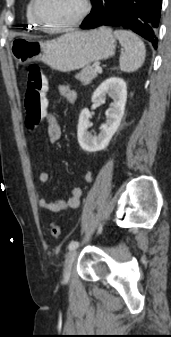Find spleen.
Segmentation results:
<instances>
[{
	"label": "spleen",
	"mask_w": 171,
	"mask_h": 337,
	"mask_svg": "<svg viewBox=\"0 0 171 337\" xmlns=\"http://www.w3.org/2000/svg\"><path fill=\"white\" fill-rule=\"evenodd\" d=\"M114 35L124 48L119 59L121 71L128 73L137 71L143 65L146 57L144 42L130 31L116 30Z\"/></svg>",
	"instance_id": "1"
}]
</instances>
